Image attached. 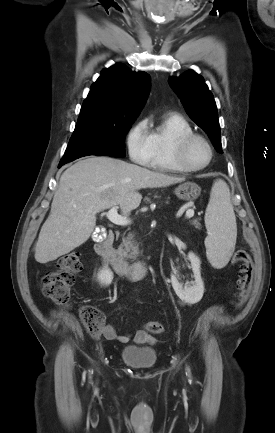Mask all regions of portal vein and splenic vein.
I'll return each instance as SVG.
<instances>
[{"label": "portal vein and splenic vein", "mask_w": 275, "mask_h": 433, "mask_svg": "<svg viewBox=\"0 0 275 433\" xmlns=\"http://www.w3.org/2000/svg\"><path fill=\"white\" fill-rule=\"evenodd\" d=\"M118 207H112L107 213H106V217L108 218V220L110 222H112L113 224L116 225H120V226H124V225H128L130 223V220L126 217H123L121 215L118 214L117 212ZM194 215V210L189 209L186 212V218H191Z\"/></svg>", "instance_id": "obj_1"}]
</instances>
